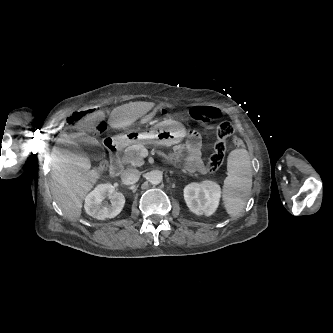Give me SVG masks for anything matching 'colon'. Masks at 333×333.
Listing matches in <instances>:
<instances>
[{"label":"colon","mask_w":333,"mask_h":333,"mask_svg":"<svg viewBox=\"0 0 333 333\" xmlns=\"http://www.w3.org/2000/svg\"><path fill=\"white\" fill-rule=\"evenodd\" d=\"M97 107L93 106L91 108H86L84 110L78 111L74 114H72L68 118V125L75 124L80 117L85 119L87 116L89 117L92 113L97 112ZM91 113V114H90ZM192 115L196 119H201L204 121H211L213 123H216V137L217 141L214 145L213 152L211 155L207 158L206 166L205 168L210 171H216L220 165L223 162L225 151H226V140L227 138L231 137L234 132V126L230 122H220L221 120V111L215 107L211 106H199L196 108H193L191 110ZM234 145L237 149H244L245 148V141L241 138H237L234 142ZM106 166V161L103 160L100 164L101 168H104Z\"/></svg>","instance_id":"5ec220e1"}]
</instances>
